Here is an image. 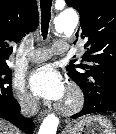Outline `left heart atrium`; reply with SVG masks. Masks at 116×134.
I'll list each match as a JSON object with an SVG mask.
<instances>
[{
  "label": "left heart atrium",
  "instance_id": "1",
  "mask_svg": "<svg viewBox=\"0 0 116 134\" xmlns=\"http://www.w3.org/2000/svg\"><path fill=\"white\" fill-rule=\"evenodd\" d=\"M31 92L49 101H60L65 96V86L61 74L53 65H43L28 76Z\"/></svg>",
  "mask_w": 116,
  "mask_h": 134
}]
</instances>
